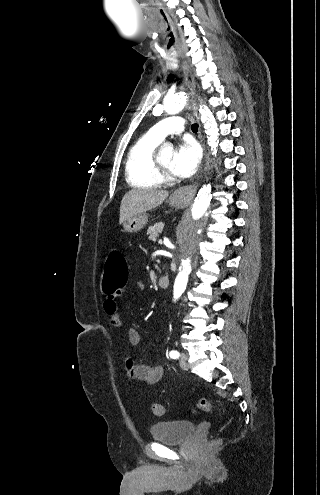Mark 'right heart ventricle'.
I'll return each mask as SVG.
<instances>
[{
	"label": "right heart ventricle",
	"instance_id": "e07e8e85",
	"mask_svg": "<svg viewBox=\"0 0 320 495\" xmlns=\"http://www.w3.org/2000/svg\"><path fill=\"white\" fill-rule=\"evenodd\" d=\"M161 140L149 132L139 137L129 148L125 162L127 182L135 188L153 189L162 179L156 171L154 154Z\"/></svg>",
	"mask_w": 320,
	"mask_h": 495
}]
</instances>
